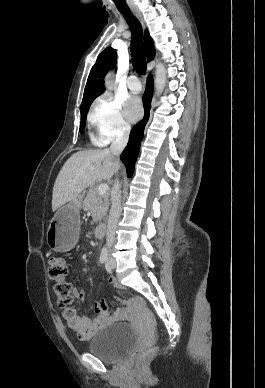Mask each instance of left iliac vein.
Returning <instances> with one entry per match:
<instances>
[{"label":"left iliac vein","mask_w":265,"mask_h":388,"mask_svg":"<svg viewBox=\"0 0 265 388\" xmlns=\"http://www.w3.org/2000/svg\"><path fill=\"white\" fill-rule=\"evenodd\" d=\"M106 266L109 268H115V261L110 259Z\"/></svg>","instance_id":"obj_1"}]
</instances>
